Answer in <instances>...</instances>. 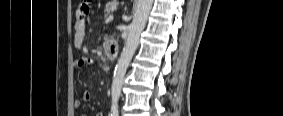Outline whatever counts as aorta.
<instances>
[{
    "label": "aorta",
    "instance_id": "aorta-1",
    "mask_svg": "<svg viewBox=\"0 0 283 116\" xmlns=\"http://www.w3.org/2000/svg\"><path fill=\"white\" fill-rule=\"evenodd\" d=\"M152 4L153 0H137L136 10L129 28L128 37L113 75L111 89V99L113 103H117L120 98L126 70L139 45V38L146 25Z\"/></svg>",
    "mask_w": 283,
    "mask_h": 116
}]
</instances>
